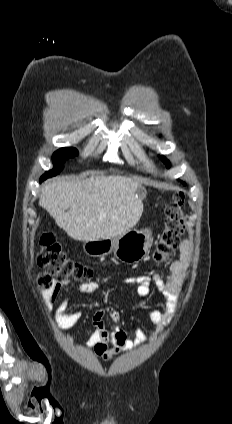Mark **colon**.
<instances>
[{"mask_svg": "<svg viewBox=\"0 0 232 424\" xmlns=\"http://www.w3.org/2000/svg\"><path fill=\"white\" fill-rule=\"evenodd\" d=\"M184 205L185 195L182 191H178L165 209L164 224L154 252V260L157 263H166L179 245L185 231ZM37 266L42 269L37 279L38 286L47 292L51 291L57 282L95 278V272L91 267L71 258L54 237L47 233L40 238Z\"/></svg>", "mask_w": 232, "mask_h": 424, "instance_id": "1", "label": "colon"}]
</instances>
